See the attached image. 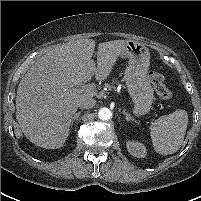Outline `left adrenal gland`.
<instances>
[{
    "mask_svg": "<svg viewBox=\"0 0 201 201\" xmlns=\"http://www.w3.org/2000/svg\"><path fill=\"white\" fill-rule=\"evenodd\" d=\"M123 114L126 116V120L129 121H133L136 124H139V122L137 120H135L128 112H126V110H123Z\"/></svg>",
    "mask_w": 201,
    "mask_h": 201,
    "instance_id": "a2214340",
    "label": "left adrenal gland"
}]
</instances>
